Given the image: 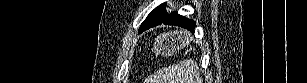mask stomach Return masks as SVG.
Here are the masks:
<instances>
[{
    "mask_svg": "<svg viewBox=\"0 0 307 83\" xmlns=\"http://www.w3.org/2000/svg\"><path fill=\"white\" fill-rule=\"evenodd\" d=\"M190 41V35L182 32L166 33L158 36L153 45L155 54L171 56L177 50L186 46Z\"/></svg>",
    "mask_w": 307,
    "mask_h": 83,
    "instance_id": "0dacf381",
    "label": "stomach"
}]
</instances>
